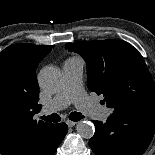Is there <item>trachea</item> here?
I'll list each match as a JSON object with an SVG mask.
<instances>
[{"label":"trachea","mask_w":155,"mask_h":155,"mask_svg":"<svg viewBox=\"0 0 155 155\" xmlns=\"http://www.w3.org/2000/svg\"><path fill=\"white\" fill-rule=\"evenodd\" d=\"M83 118H84V116L79 112H72L69 115V119L72 121H79ZM41 119L44 121H47V122H54V123L59 122L61 120L60 116L55 113L48 115V116H42Z\"/></svg>","instance_id":"1"}]
</instances>
